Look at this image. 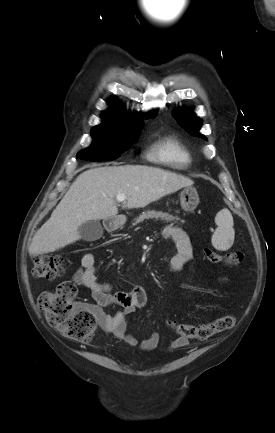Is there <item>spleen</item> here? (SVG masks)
I'll return each mask as SVG.
<instances>
[{
  "label": "spleen",
  "mask_w": 275,
  "mask_h": 433,
  "mask_svg": "<svg viewBox=\"0 0 275 433\" xmlns=\"http://www.w3.org/2000/svg\"><path fill=\"white\" fill-rule=\"evenodd\" d=\"M217 229L215 230L211 242L216 250L226 251L234 242L235 232L233 229V217L226 208L220 210L215 217Z\"/></svg>",
  "instance_id": "3e777b00"
}]
</instances>
